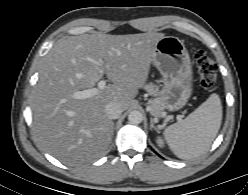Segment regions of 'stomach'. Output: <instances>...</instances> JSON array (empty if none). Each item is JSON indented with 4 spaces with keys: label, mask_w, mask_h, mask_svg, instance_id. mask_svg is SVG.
Listing matches in <instances>:
<instances>
[{
    "label": "stomach",
    "mask_w": 248,
    "mask_h": 195,
    "mask_svg": "<svg viewBox=\"0 0 248 195\" xmlns=\"http://www.w3.org/2000/svg\"><path fill=\"white\" fill-rule=\"evenodd\" d=\"M152 63L162 75L164 109L180 110L192 93V65L183 42L174 36L163 37L155 45Z\"/></svg>",
    "instance_id": "1"
}]
</instances>
